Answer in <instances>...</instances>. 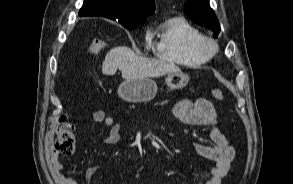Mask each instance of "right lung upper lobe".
I'll return each mask as SVG.
<instances>
[{"mask_svg":"<svg viewBox=\"0 0 293 184\" xmlns=\"http://www.w3.org/2000/svg\"><path fill=\"white\" fill-rule=\"evenodd\" d=\"M154 10V0H84L79 16L106 17L122 24L143 22Z\"/></svg>","mask_w":293,"mask_h":184,"instance_id":"obj_1","label":"right lung upper lobe"}]
</instances>
